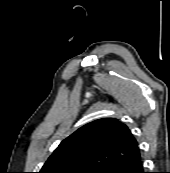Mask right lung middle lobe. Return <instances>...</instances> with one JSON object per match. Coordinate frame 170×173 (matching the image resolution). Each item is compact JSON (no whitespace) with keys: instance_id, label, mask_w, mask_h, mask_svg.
<instances>
[{"instance_id":"dd1d6c3e","label":"right lung middle lobe","mask_w":170,"mask_h":173,"mask_svg":"<svg viewBox=\"0 0 170 173\" xmlns=\"http://www.w3.org/2000/svg\"><path fill=\"white\" fill-rule=\"evenodd\" d=\"M65 173H85L83 171H65Z\"/></svg>"}]
</instances>
